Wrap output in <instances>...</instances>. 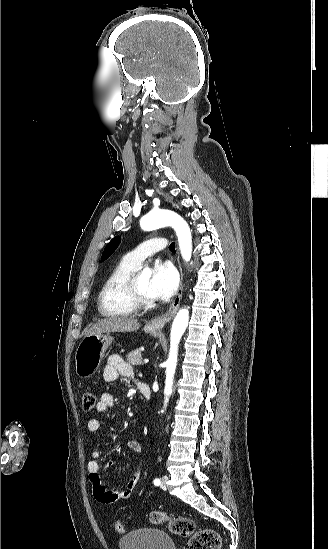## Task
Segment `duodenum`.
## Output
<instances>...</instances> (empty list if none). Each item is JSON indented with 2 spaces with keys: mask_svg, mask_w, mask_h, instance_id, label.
Masks as SVG:
<instances>
[{
  "mask_svg": "<svg viewBox=\"0 0 328 549\" xmlns=\"http://www.w3.org/2000/svg\"><path fill=\"white\" fill-rule=\"evenodd\" d=\"M137 388L138 390L140 391V393L147 399L149 400L151 398V389H150V386L144 382H138L137 383Z\"/></svg>",
  "mask_w": 328,
  "mask_h": 549,
  "instance_id": "duodenum-1",
  "label": "duodenum"
}]
</instances>
